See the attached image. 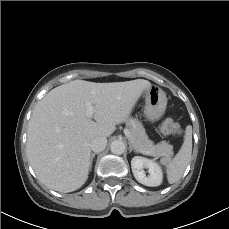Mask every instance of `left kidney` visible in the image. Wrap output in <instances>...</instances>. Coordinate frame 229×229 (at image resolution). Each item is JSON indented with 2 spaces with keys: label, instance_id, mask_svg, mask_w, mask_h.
Instances as JSON below:
<instances>
[{
  "label": "left kidney",
  "instance_id": "left-kidney-1",
  "mask_svg": "<svg viewBox=\"0 0 229 229\" xmlns=\"http://www.w3.org/2000/svg\"><path fill=\"white\" fill-rule=\"evenodd\" d=\"M131 168L135 179L143 185L154 187L162 183V169L153 160L135 156L131 160ZM144 168L148 169V176H146Z\"/></svg>",
  "mask_w": 229,
  "mask_h": 229
}]
</instances>
